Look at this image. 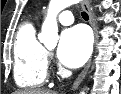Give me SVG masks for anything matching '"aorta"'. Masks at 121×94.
<instances>
[{
	"mask_svg": "<svg viewBox=\"0 0 121 94\" xmlns=\"http://www.w3.org/2000/svg\"><path fill=\"white\" fill-rule=\"evenodd\" d=\"M78 1L79 0H50L47 16L39 35V40L46 47H55L59 39L56 19L59 12ZM81 94H85V92H81Z\"/></svg>",
	"mask_w": 121,
	"mask_h": 94,
	"instance_id": "1",
	"label": "aorta"
}]
</instances>
